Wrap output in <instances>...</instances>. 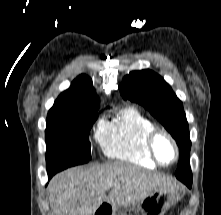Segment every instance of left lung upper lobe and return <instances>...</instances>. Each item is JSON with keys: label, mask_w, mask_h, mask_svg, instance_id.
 I'll return each instance as SVG.
<instances>
[{"label": "left lung upper lobe", "mask_w": 221, "mask_h": 215, "mask_svg": "<svg viewBox=\"0 0 221 215\" xmlns=\"http://www.w3.org/2000/svg\"><path fill=\"white\" fill-rule=\"evenodd\" d=\"M119 89L124 99L143 105L171 133L180 152V161L175 175L179 180L192 181L188 123L183 104L169 84L155 72L141 70L125 76Z\"/></svg>", "instance_id": "obj_1"}]
</instances>
